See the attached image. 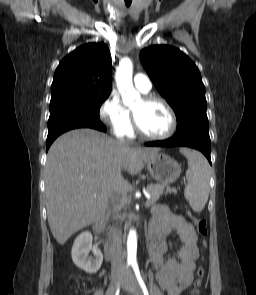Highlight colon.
<instances>
[{"label": "colon", "mask_w": 256, "mask_h": 295, "mask_svg": "<svg viewBox=\"0 0 256 295\" xmlns=\"http://www.w3.org/2000/svg\"><path fill=\"white\" fill-rule=\"evenodd\" d=\"M188 215H189V218L195 223L197 233L201 238L200 247L204 248L205 245H206V242H205L204 238L207 235L206 221L203 218L195 217V216H192L191 214H188ZM196 273H197V280H196L195 286H194V288L192 290V295H199V293H200L201 278H202V276L204 274V270H203V267L201 265L198 266Z\"/></svg>", "instance_id": "colon-1"}]
</instances>
